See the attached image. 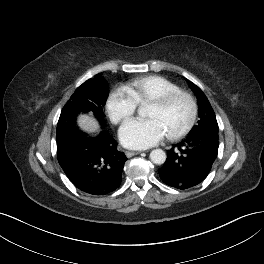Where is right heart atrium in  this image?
Returning <instances> with one entry per match:
<instances>
[{
  "mask_svg": "<svg viewBox=\"0 0 264 264\" xmlns=\"http://www.w3.org/2000/svg\"><path fill=\"white\" fill-rule=\"evenodd\" d=\"M137 103L124 87L115 89L107 98L106 110L115 124L123 123L135 113Z\"/></svg>",
  "mask_w": 264,
  "mask_h": 264,
  "instance_id": "obj_1",
  "label": "right heart atrium"
}]
</instances>
